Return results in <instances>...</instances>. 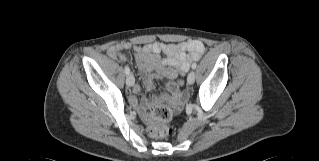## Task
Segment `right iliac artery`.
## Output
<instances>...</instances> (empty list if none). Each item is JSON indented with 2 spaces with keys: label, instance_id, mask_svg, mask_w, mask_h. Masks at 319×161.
Returning <instances> with one entry per match:
<instances>
[{
  "label": "right iliac artery",
  "instance_id": "right-iliac-artery-1",
  "mask_svg": "<svg viewBox=\"0 0 319 161\" xmlns=\"http://www.w3.org/2000/svg\"><path fill=\"white\" fill-rule=\"evenodd\" d=\"M129 73H130V69H129V67L126 66L125 67V74L128 75Z\"/></svg>",
  "mask_w": 319,
  "mask_h": 161
}]
</instances>
